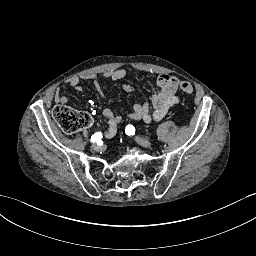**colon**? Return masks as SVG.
<instances>
[{"label":"colon","instance_id":"obj_1","mask_svg":"<svg viewBox=\"0 0 256 256\" xmlns=\"http://www.w3.org/2000/svg\"><path fill=\"white\" fill-rule=\"evenodd\" d=\"M180 88L186 94H191L193 91L192 86L184 81L180 82ZM53 117L58 126L68 135H72L80 129L88 128L92 123L88 113L64 105L55 108Z\"/></svg>","mask_w":256,"mask_h":256}]
</instances>
